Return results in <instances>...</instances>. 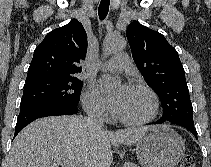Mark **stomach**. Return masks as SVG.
<instances>
[{
    "instance_id": "stomach-1",
    "label": "stomach",
    "mask_w": 211,
    "mask_h": 167,
    "mask_svg": "<svg viewBox=\"0 0 211 167\" xmlns=\"http://www.w3.org/2000/svg\"><path fill=\"white\" fill-rule=\"evenodd\" d=\"M135 151L143 167H175L185 153L184 140L167 126H152L136 142Z\"/></svg>"
}]
</instances>
